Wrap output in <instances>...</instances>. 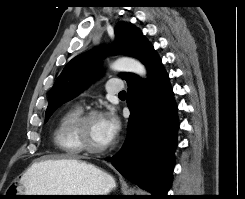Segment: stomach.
<instances>
[{"label":"stomach","instance_id":"obj_1","mask_svg":"<svg viewBox=\"0 0 245 199\" xmlns=\"http://www.w3.org/2000/svg\"><path fill=\"white\" fill-rule=\"evenodd\" d=\"M14 195H106L115 188L114 179L100 168L78 161L46 173L45 177L14 182ZM6 195V194H5ZM25 198L27 196H19ZM83 197L44 196L37 199H70Z\"/></svg>","mask_w":245,"mask_h":199}]
</instances>
